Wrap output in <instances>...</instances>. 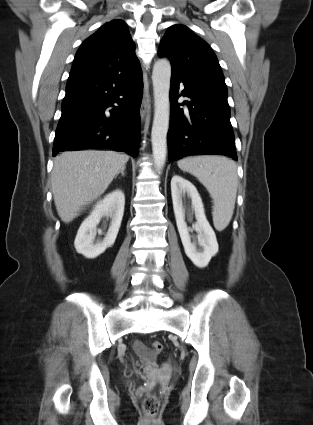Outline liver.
Returning a JSON list of instances; mask_svg holds the SVG:
<instances>
[{
	"label": "liver",
	"mask_w": 313,
	"mask_h": 425,
	"mask_svg": "<svg viewBox=\"0 0 313 425\" xmlns=\"http://www.w3.org/2000/svg\"><path fill=\"white\" fill-rule=\"evenodd\" d=\"M129 156L114 151H68L54 159L51 182L59 217L71 222L102 195Z\"/></svg>",
	"instance_id": "obj_1"
}]
</instances>
